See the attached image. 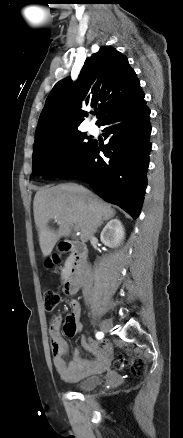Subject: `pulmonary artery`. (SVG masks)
Here are the masks:
<instances>
[{
	"instance_id": "1",
	"label": "pulmonary artery",
	"mask_w": 183,
	"mask_h": 438,
	"mask_svg": "<svg viewBox=\"0 0 183 438\" xmlns=\"http://www.w3.org/2000/svg\"><path fill=\"white\" fill-rule=\"evenodd\" d=\"M88 130H89L91 133H95V132L97 131L96 126L93 125V124L88 125Z\"/></svg>"
}]
</instances>
